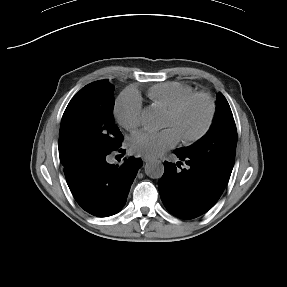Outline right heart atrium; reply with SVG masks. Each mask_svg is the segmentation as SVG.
<instances>
[{
	"mask_svg": "<svg viewBox=\"0 0 287 287\" xmlns=\"http://www.w3.org/2000/svg\"><path fill=\"white\" fill-rule=\"evenodd\" d=\"M114 113L125 129L137 130L142 124V102L139 94L136 91L122 93L116 100Z\"/></svg>",
	"mask_w": 287,
	"mask_h": 287,
	"instance_id": "1",
	"label": "right heart atrium"
}]
</instances>
